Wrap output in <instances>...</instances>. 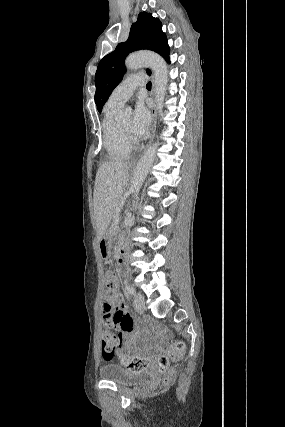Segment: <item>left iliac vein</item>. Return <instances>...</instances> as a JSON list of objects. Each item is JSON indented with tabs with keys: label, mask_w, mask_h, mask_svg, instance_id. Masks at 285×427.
Masks as SVG:
<instances>
[{
	"label": "left iliac vein",
	"mask_w": 285,
	"mask_h": 427,
	"mask_svg": "<svg viewBox=\"0 0 285 427\" xmlns=\"http://www.w3.org/2000/svg\"><path fill=\"white\" fill-rule=\"evenodd\" d=\"M134 306L138 312H142L145 308V299L141 294L134 296Z\"/></svg>",
	"instance_id": "left-iliac-vein-1"
}]
</instances>
